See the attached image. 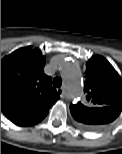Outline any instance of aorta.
<instances>
[{
    "mask_svg": "<svg viewBox=\"0 0 122 154\" xmlns=\"http://www.w3.org/2000/svg\"><path fill=\"white\" fill-rule=\"evenodd\" d=\"M65 80L66 90L71 97L80 96L82 93L81 75L75 62L65 60L60 66Z\"/></svg>",
    "mask_w": 122,
    "mask_h": 154,
    "instance_id": "762f6f07",
    "label": "aorta"
}]
</instances>
